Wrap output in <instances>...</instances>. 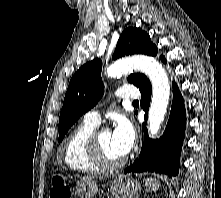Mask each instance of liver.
Returning a JSON list of instances; mask_svg holds the SVG:
<instances>
[{
	"mask_svg": "<svg viewBox=\"0 0 221 198\" xmlns=\"http://www.w3.org/2000/svg\"><path fill=\"white\" fill-rule=\"evenodd\" d=\"M83 179H90V180H92V177H90V176H85Z\"/></svg>",
	"mask_w": 221,
	"mask_h": 198,
	"instance_id": "liver-1",
	"label": "liver"
}]
</instances>
